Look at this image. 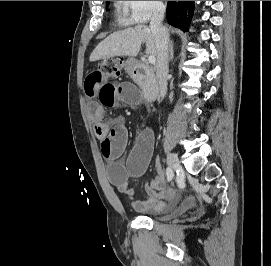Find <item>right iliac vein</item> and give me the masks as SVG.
I'll return each instance as SVG.
<instances>
[{"instance_id": "right-iliac-vein-1", "label": "right iliac vein", "mask_w": 271, "mask_h": 266, "mask_svg": "<svg viewBox=\"0 0 271 266\" xmlns=\"http://www.w3.org/2000/svg\"><path fill=\"white\" fill-rule=\"evenodd\" d=\"M167 163H168L169 167L172 168V169L180 168L179 159H178L177 155L174 154V153H170L168 155Z\"/></svg>"}]
</instances>
